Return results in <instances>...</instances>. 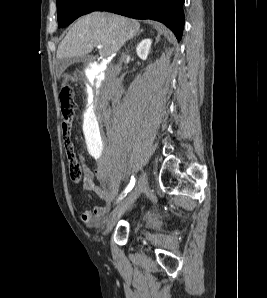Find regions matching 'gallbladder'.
Masks as SVG:
<instances>
[{
  "label": "gallbladder",
  "mask_w": 267,
  "mask_h": 298,
  "mask_svg": "<svg viewBox=\"0 0 267 298\" xmlns=\"http://www.w3.org/2000/svg\"><path fill=\"white\" fill-rule=\"evenodd\" d=\"M88 56H82L79 58H63V59H58L57 64H56V70L59 73H62L66 68H68L72 63L76 61H86L88 60Z\"/></svg>",
  "instance_id": "gallbladder-1"
}]
</instances>
